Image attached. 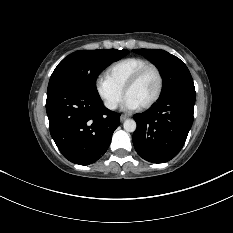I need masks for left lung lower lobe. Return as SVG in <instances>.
<instances>
[{"mask_svg": "<svg viewBox=\"0 0 233 233\" xmlns=\"http://www.w3.org/2000/svg\"><path fill=\"white\" fill-rule=\"evenodd\" d=\"M194 104L195 94L178 92L161 98L152 109L135 114L133 144L137 153L153 163L174 158L192 126Z\"/></svg>", "mask_w": 233, "mask_h": 233, "instance_id": "left-lung-lower-lobe-1", "label": "left lung lower lobe"}]
</instances>
